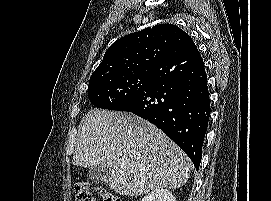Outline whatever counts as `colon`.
<instances>
[{
    "label": "colon",
    "mask_w": 271,
    "mask_h": 201,
    "mask_svg": "<svg viewBox=\"0 0 271 201\" xmlns=\"http://www.w3.org/2000/svg\"><path fill=\"white\" fill-rule=\"evenodd\" d=\"M77 201H95L90 185L86 182L78 183L75 187ZM97 193L102 201H122L119 197L105 188L98 187Z\"/></svg>",
    "instance_id": "1"
}]
</instances>
